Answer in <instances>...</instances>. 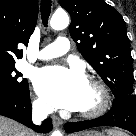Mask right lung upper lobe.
Returning <instances> with one entry per match:
<instances>
[{
    "mask_svg": "<svg viewBox=\"0 0 136 136\" xmlns=\"http://www.w3.org/2000/svg\"><path fill=\"white\" fill-rule=\"evenodd\" d=\"M38 14L35 0H0V64L23 57L18 45L28 44Z\"/></svg>",
    "mask_w": 136,
    "mask_h": 136,
    "instance_id": "obj_1",
    "label": "right lung upper lobe"
}]
</instances>
